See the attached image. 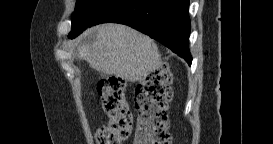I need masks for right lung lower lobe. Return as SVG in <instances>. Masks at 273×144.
I'll use <instances>...</instances> for the list:
<instances>
[{
  "instance_id": "98d812e1",
  "label": "right lung lower lobe",
  "mask_w": 273,
  "mask_h": 144,
  "mask_svg": "<svg viewBox=\"0 0 273 144\" xmlns=\"http://www.w3.org/2000/svg\"><path fill=\"white\" fill-rule=\"evenodd\" d=\"M189 0H111L88 27L114 22L135 28L167 46L191 65Z\"/></svg>"
}]
</instances>
